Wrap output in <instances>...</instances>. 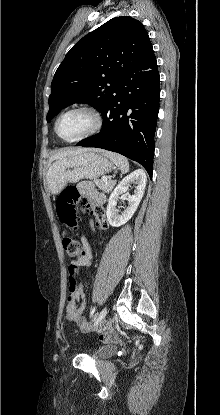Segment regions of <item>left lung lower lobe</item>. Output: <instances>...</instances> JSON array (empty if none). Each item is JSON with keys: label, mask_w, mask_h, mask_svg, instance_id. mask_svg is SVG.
<instances>
[{"label": "left lung lower lobe", "mask_w": 220, "mask_h": 415, "mask_svg": "<svg viewBox=\"0 0 220 415\" xmlns=\"http://www.w3.org/2000/svg\"><path fill=\"white\" fill-rule=\"evenodd\" d=\"M159 100V72L153 55L146 64L125 72L116 81L101 111L100 133L76 145L120 153L139 162L152 177Z\"/></svg>", "instance_id": "0a47b994"}]
</instances>
